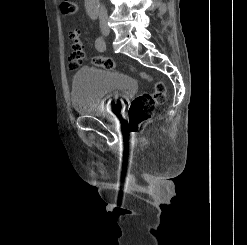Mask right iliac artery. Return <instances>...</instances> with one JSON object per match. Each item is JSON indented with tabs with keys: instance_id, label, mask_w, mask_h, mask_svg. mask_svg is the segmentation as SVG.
Here are the masks:
<instances>
[{
	"instance_id": "right-iliac-artery-1",
	"label": "right iliac artery",
	"mask_w": 247,
	"mask_h": 245,
	"mask_svg": "<svg viewBox=\"0 0 247 245\" xmlns=\"http://www.w3.org/2000/svg\"><path fill=\"white\" fill-rule=\"evenodd\" d=\"M95 47L98 51L103 52L106 49L105 40L102 37H98L95 41Z\"/></svg>"
}]
</instances>
